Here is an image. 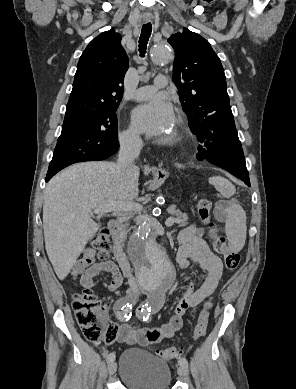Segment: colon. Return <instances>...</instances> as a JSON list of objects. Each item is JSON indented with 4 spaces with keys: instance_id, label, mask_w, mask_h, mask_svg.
Returning <instances> with one entry per match:
<instances>
[{
    "instance_id": "colon-1",
    "label": "colon",
    "mask_w": 296,
    "mask_h": 389,
    "mask_svg": "<svg viewBox=\"0 0 296 389\" xmlns=\"http://www.w3.org/2000/svg\"><path fill=\"white\" fill-rule=\"evenodd\" d=\"M212 204L206 198L198 203V215L200 220L207 225L208 233L212 239L213 248L216 252L223 255L225 266L228 270L237 269L240 262V256L229 249L226 239L220 235L214 225L211 223ZM91 245L97 250L101 260L108 258L111 250V238L107 230H101L91 240ZM211 300L207 301L201 310L198 322L193 331V338L199 339L205 336L208 325L209 310ZM72 308L75 318L80 326L84 337L91 343H112L117 336L118 328L107 319L105 309L101 306L97 296L90 288H84L72 296ZM182 348L169 347L159 351V355L165 360L178 358Z\"/></svg>"
}]
</instances>
